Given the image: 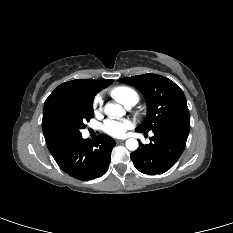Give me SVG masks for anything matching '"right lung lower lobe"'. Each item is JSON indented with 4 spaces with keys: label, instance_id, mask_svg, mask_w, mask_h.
I'll return each instance as SVG.
<instances>
[{
    "label": "right lung lower lobe",
    "instance_id": "obj_1",
    "mask_svg": "<svg viewBox=\"0 0 233 233\" xmlns=\"http://www.w3.org/2000/svg\"><path fill=\"white\" fill-rule=\"evenodd\" d=\"M114 146L113 138L100 134L95 140L80 136L49 150L64 172L88 180L106 173Z\"/></svg>",
    "mask_w": 233,
    "mask_h": 233
}]
</instances>
